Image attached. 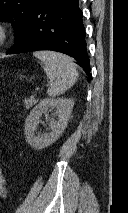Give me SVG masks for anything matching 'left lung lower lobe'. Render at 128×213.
Listing matches in <instances>:
<instances>
[{"label":"left lung lower lobe","mask_w":128,"mask_h":213,"mask_svg":"<svg viewBox=\"0 0 128 213\" xmlns=\"http://www.w3.org/2000/svg\"><path fill=\"white\" fill-rule=\"evenodd\" d=\"M52 50L78 60L90 75L85 28L78 0H38L34 9L6 54Z\"/></svg>","instance_id":"0a47b994"}]
</instances>
